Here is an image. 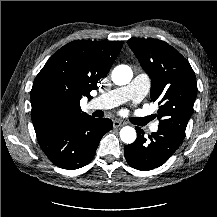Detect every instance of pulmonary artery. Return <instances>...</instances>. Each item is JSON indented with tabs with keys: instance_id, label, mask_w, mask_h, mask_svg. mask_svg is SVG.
Returning <instances> with one entry per match:
<instances>
[{
	"instance_id": "pulmonary-artery-1",
	"label": "pulmonary artery",
	"mask_w": 217,
	"mask_h": 217,
	"mask_svg": "<svg viewBox=\"0 0 217 217\" xmlns=\"http://www.w3.org/2000/svg\"><path fill=\"white\" fill-rule=\"evenodd\" d=\"M150 88V79L147 74L141 73L126 86L111 90L93 99L88 105L90 109L107 110L112 109L127 101L137 103L141 101ZM159 128L157 122L150 125V130L156 132Z\"/></svg>"
}]
</instances>
